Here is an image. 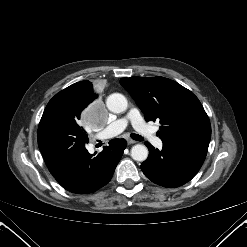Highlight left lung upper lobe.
<instances>
[{
  "label": "left lung upper lobe",
  "mask_w": 247,
  "mask_h": 247,
  "mask_svg": "<svg viewBox=\"0 0 247 247\" xmlns=\"http://www.w3.org/2000/svg\"><path fill=\"white\" fill-rule=\"evenodd\" d=\"M120 84L129 92L145 115L146 121L159 120L157 132L163 143L186 137H211L209 118L188 89L164 77L121 78Z\"/></svg>",
  "instance_id": "obj_1"
}]
</instances>
